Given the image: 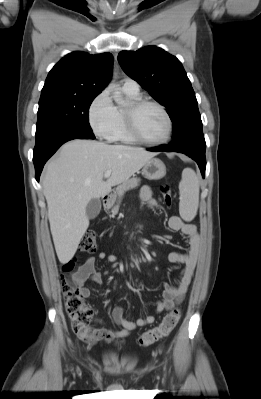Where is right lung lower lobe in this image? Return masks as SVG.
<instances>
[{
    "mask_svg": "<svg viewBox=\"0 0 261 399\" xmlns=\"http://www.w3.org/2000/svg\"><path fill=\"white\" fill-rule=\"evenodd\" d=\"M88 138L95 139L93 132L88 133L68 126L55 127L37 134L33 151L36 180L39 181L44 164L62 144L72 139Z\"/></svg>",
    "mask_w": 261,
    "mask_h": 399,
    "instance_id": "1",
    "label": "right lung lower lobe"
}]
</instances>
